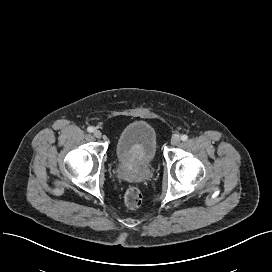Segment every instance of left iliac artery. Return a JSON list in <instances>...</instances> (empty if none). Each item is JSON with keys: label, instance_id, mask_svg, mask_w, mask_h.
Masks as SVG:
<instances>
[{"label": "left iliac artery", "instance_id": "1", "mask_svg": "<svg viewBox=\"0 0 272 272\" xmlns=\"http://www.w3.org/2000/svg\"><path fill=\"white\" fill-rule=\"evenodd\" d=\"M188 139V136L186 135V134H183L182 136H181V140L182 141H186Z\"/></svg>", "mask_w": 272, "mask_h": 272}]
</instances>
